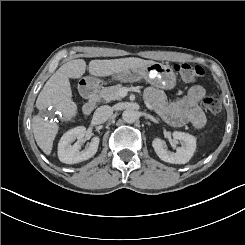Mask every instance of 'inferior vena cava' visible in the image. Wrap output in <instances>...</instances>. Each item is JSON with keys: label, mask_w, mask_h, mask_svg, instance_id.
I'll return each instance as SVG.
<instances>
[{"label": "inferior vena cava", "mask_w": 245, "mask_h": 245, "mask_svg": "<svg viewBox=\"0 0 245 245\" xmlns=\"http://www.w3.org/2000/svg\"><path fill=\"white\" fill-rule=\"evenodd\" d=\"M112 114H113V109L108 105H103L96 109L94 113V118L97 121L105 122L112 116Z\"/></svg>", "instance_id": "inferior-vena-cava-1"}]
</instances>
